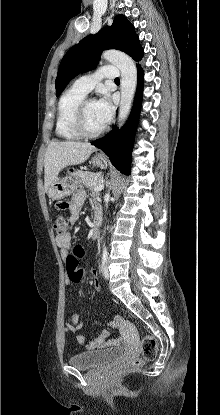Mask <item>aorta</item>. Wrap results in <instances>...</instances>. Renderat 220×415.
Wrapping results in <instances>:
<instances>
[{
	"instance_id": "762f6f07",
	"label": "aorta",
	"mask_w": 220,
	"mask_h": 415,
	"mask_svg": "<svg viewBox=\"0 0 220 415\" xmlns=\"http://www.w3.org/2000/svg\"><path fill=\"white\" fill-rule=\"evenodd\" d=\"M102 58L114 64L121 71V101L118 113V123L121 126L129 115L136 90V65L128 55L117 50L104 51Z\"/></svg>"
}]
</instances>
